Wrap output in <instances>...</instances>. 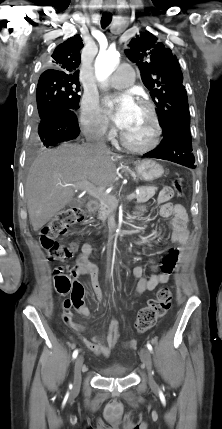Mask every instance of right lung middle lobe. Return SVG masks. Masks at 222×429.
Returning a JSON list of instances; mask_svg holds the SVG:
<instances>
[{
	"instance_id": "dd1d6c3e",
	"label": "right lung middle lobe",
	"mask_w": 222,
	"mask_h": 429,
	"mask_svg": "<svg viewBox=\"0 0 222 429\" xmlns=\"http://www.w3.org/2000/svg\"><path fill=\"white\" fill-rule=\"evenodd\" d=\"M80 85L78 80L70 78L39 79L36 100L39 118L54 107L75 110L79 107Z\"/></svg>"
}]
</instances>
